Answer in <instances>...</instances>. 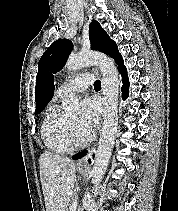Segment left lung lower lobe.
Segmentation results:
<instances>
[{"label": "left lung lower lobe", "mask_w": 178, "mask_h": 211, "mask_svg": "<svg viewBox=\"0 0 178 211\" xmlns=\"http://www.w3.org/2000/svg\"><path fill=\"white\" fill-rule=\"evenodd\" d=\"M117 64H118L119 72L122 75V82H123L122 98L126 99L128 97L129 80L127 77V70H126V67L124 66L122 57L118 59ZM86 153H87V151L80 152V153L74 155L72 158L75 160L79 159L82 156H84ZM88 161L91 163V160H88Z\"/></svg>", "instance_id": "0a47b994"}]
</instances>
